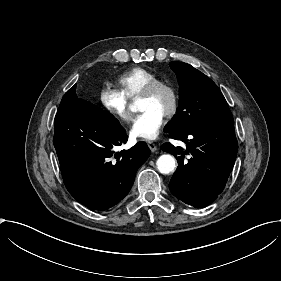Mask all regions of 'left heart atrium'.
Returning a JSON list of instances; mask_svg holds the SVG:
<instances>
[{
    "instance_id": "39dd6f15",
    "label": "left heart atrium",
    "mask_w": 281,
    "mask_h": 281,
    "mask_svg": "<svg viewBox=\"0 0 281 281\" xmlns=\"http://www.w3.org/2000/svg\"><path fill=\"white\" fill-rule=\"evenodd\" d=\"M163 122V116L150 110H145L135 119L130 133L134 137L145 140H155L160 134Z\"/></svg>"
}]
</instances>
